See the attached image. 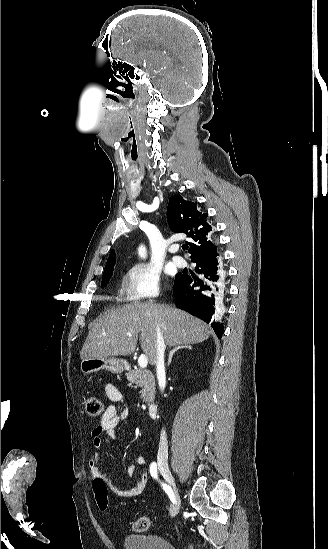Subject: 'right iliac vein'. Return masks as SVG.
<instances>
[{"instance_id":"obj_1","label":"right iliac vein","mask_w":328,"mask_h":549,"mask_svg":"<svg viewBox=\"0 0 328 549\" xmlns=\"http://www.w3.org/2000/svg\"><path fill=\"white\" fill-rule=\"evenodd\" d=\"M159 469H160L161 473L163 474V476L165 477V479L172 485V487L174 489L175 505H174L173 510H172V517H175L178 514V512L181 508V503H180L178 490L176 488L173 475H172L171 471L169 470L168 465L165 461L160 460Z\"/></svg>"}]
</instances>
